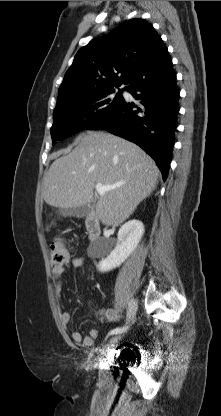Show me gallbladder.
<instances>
[{"instance_id":"1","label":"gallbladder","mask_w":221,"mask_h":416,"mask_svg":"<svg viewBox=\"0 0 221 416\" xmlns=\"http://www.w3.org/2000/svg\"><path fill=\"white\" fill-rule=\"evenodd\" d=\"M94 199L89 202L86 203L84 205H81L79 207H74V208H69V209H60L59 210V215L63 216V217H67V216H74V217H84L87 214H89L94 206Z\"/></svg>"}]
</instances>
